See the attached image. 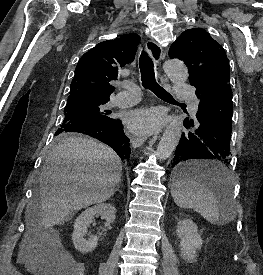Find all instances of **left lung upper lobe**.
Listing matches in <instances>:
<instances>
[{"label": "left lung upper lobe", "mask_w": 263, "mask_h": 275, "mask_svg": "<svg viewBox=\"0 0 263 275\" xmlns=\"http://www.w3.org/2000/svg\"><path fill=\"white\" fill-rule=\"evenodd\" d=\"M169 56L187 65L190 84L204 88L229 83L230 67L226 53L204 29L185 30L170 47Z\"/></svg>", "instance_id": "left-lung-upper-lobe-1"}]
</instances>
